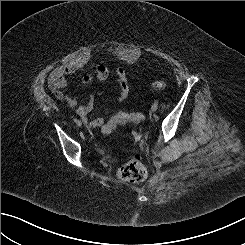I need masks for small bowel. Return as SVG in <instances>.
<instances>
[{
	"instance_id": "small-bowel-1",
	"label": "small bowel",
	"mask_w": 245,
	"mask_h": 245,
	"mask_svg": "<svg viewBox=\"0 0 245 245\" xmlns=\"http://www.w3.org/2000/svg\"><path fill=\"white\" fill-rule=\"evenodd\" d=\"M80 68L81 67L79 65H65L55 68L49 75L48 86L54 93L55 97L72 108L88 128L93 129L101 127L105 124L107 117L110 115V111L108 110L98 117H89L94 106V95H89L86 103L80 104L75 97L69 96L63 91L66 86V78L70 75L76 74ZM111 75L116 77L119 85L117 101L123 102L129 95V84L123 69H111L109 66L104 64L96 65L94 67V72L81 76V81L84 84L91 83L93 81L103 82Z\"/></svg>"
}]
</instances>
